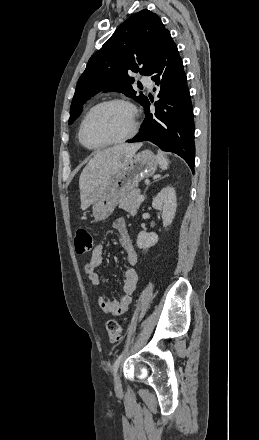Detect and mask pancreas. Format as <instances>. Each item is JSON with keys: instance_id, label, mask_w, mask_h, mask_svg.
I'll return each instance as SVG.
<instances>
[{"instance_id": "obj_1", "label": "pancreas", "mask_w": 259, "mask_h": 440, "mask_svg": "<svg viewBox=\"0 0 259 440\" xmlns=\"http://www.w3.org/2000/svg\"><path fill=\"white\" fill-rule=\"evenodd\" d=\"M140 195V190L135 189L123 197L119 202V208H122L130 215L134 216L140 207L141 202L138 201V196Z\"/></svg>"}]
</instances>
